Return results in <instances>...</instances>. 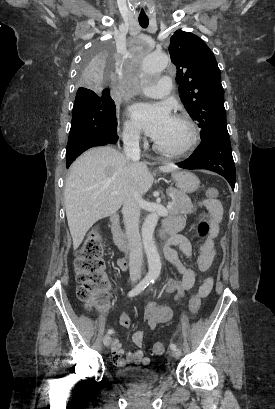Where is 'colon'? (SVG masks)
I'll use <instances>...</instances> for the list:
<instances>
[{
  "label": "colon",
  "instance_id": "1",
  "mask_svg": "<svg viewBox=\"0 0 275 409\" xmlns=\"http://www.w3.org/2000/svg\"><path fill=\"white\" fill-rule=\"evenodd\" d=\"M219 191L216 188H211L207 191V196L210 199H216ZM210 230V225L207 219L202 218L196 226V235L199 239L207 237ZM104 245L102 232L98 228L92 229L85 238L81 249L79 250L78 258L75 262L76 281L78 288L76 295L86 307H97L101 302L102 294L111 287V279L105 270V261L103 259ZM204 293L197 292L193 295L189 303V313L194 315L198 312L201 306V300ZM107 300H110V295H106ZM154 357H163L164 345L162 342H155L153 345Z\"/></svg>",
  "mask_w": 275,
  "mask_h": 409
}]
</instances>
